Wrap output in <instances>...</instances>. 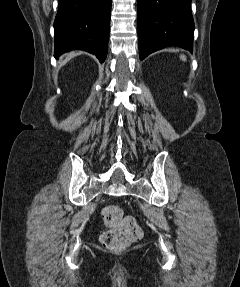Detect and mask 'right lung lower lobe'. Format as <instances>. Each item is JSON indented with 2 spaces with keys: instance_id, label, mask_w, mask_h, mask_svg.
Listing matches in <instances>:
<instances>
[{
  "instance_id": "obj_1",
  "label": "right lung lower lobe",
  "mask_w": 240,
  "mask_h": 287,
  "mask_svg": "<svg viewBox=\"0 0 240 287\" xmlns=\"http://www.w3.org/2000/svg\"><path fill=\"white\" fill-rule=\"evenodd\" d=\"M112 0H59L54 21L55 57L85 50L104 62L107 55Z\"/></svg>"
}]
</instances>
